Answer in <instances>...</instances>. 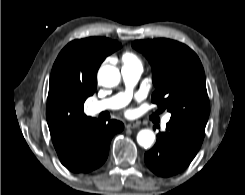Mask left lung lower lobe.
<instances>
[{"instance_id": "obj_1", "label": "left lung lower lobe", "mask_w": 245, "mask_h": 195, "mask_svg": "<svg viewBox=\"0 0 245 195\" xmlns=\"http://www.w3.org/2000/svg\"><path fill=\"white\" fill-rule=\"evenodd\" d=\"M204 135L203 126L170 120L166 125V131L157 135L155 146L145 153V163L156 175H176L194 159Z\"/></svg>"}]
</instances>
